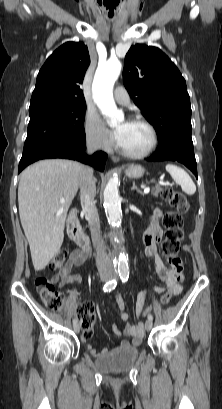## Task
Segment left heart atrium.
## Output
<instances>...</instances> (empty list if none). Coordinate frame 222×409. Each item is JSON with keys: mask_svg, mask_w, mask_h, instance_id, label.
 Listing matches in <instances>:
<instances>
[{"mask_svg": "<svg viewBox=\"0 0 222 409\" xmlns=\"http://www.w3.org/2000/svg\"><path fill=\"white\" fill-rule=\"evenodd\" d=\"M112 137L113 139L119 144L122 138V130L121 129H114L112 131Z\"/></svg>", "mask_w": 222, "mask_h": 409, "instance_id": "1", "label": "left heart atrium"}]
</instances>
